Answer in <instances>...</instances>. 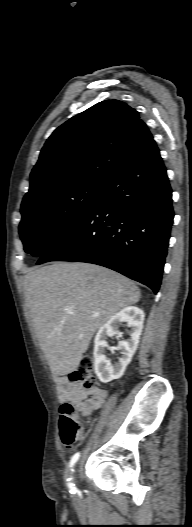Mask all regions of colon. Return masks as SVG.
<instances>
[{
	"mask_svg": "<svg viewBox=\"0 0 192 527\" xmlns=\"http://www.w3.org/2000/svg\"><path fill=\"white\" fill-rule=\"evenodd\" d=\"M69 379L84 389L95 388L96 381L93 375V361L89 357L83 358L77 369L70 374ZM59 413L61 441L67 448H71L75 443L84 438L86 427L79 420L76 408L72 402H63L60 406Z\"/></svg>",
	"mask_w": 192,
	"mask_h": 527,
	"instance_id": "colon-1",
	"label": "colon"
}]
</instances>
